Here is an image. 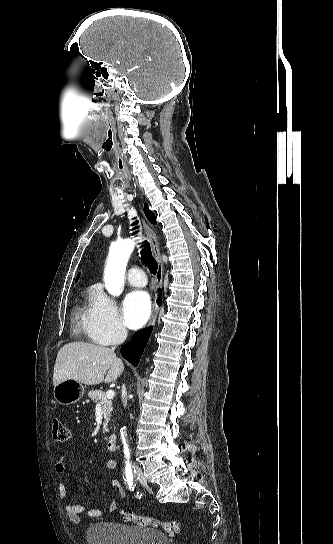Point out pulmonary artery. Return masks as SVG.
I'll return each instance as SVG.
<instances>
[{"instance_id":"obj_1","label":"pulmonary artery","mask_w":333,"mask_h":544,"mask_svg":"<svg viewBox=\"0 0 333 544\" xmlns=\"http://www.w3.org/2000/svg\"><path fill=\"white\" fill-rule=\"evenodd\" d=\"M127 281L134 287H144L147 283L145 273L138 267L129 269L127 272Z\"/></svg>"}]
</instances>
